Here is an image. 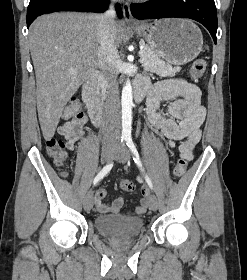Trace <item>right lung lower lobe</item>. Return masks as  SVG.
Masks as SVG:
<instances>
[{"label": "right lung lower lobe", "instance_id": "98d812e1", "mask_svg": "<svg viewBox=\"0 0 247 280\" xmlns=\"http://www.w3.org/2000/svg\"><path fill=\"white\" fill-rule=\"evenodd\" d=\"M108 3L109 0H30L27 9V26L29 27L36 17L45 13L67 10L104 12ZM116 11L121 17L122 10L119 4H116Z\"/></svg>", "mask_w": 247, "mask_h": 280}]
</instances>
